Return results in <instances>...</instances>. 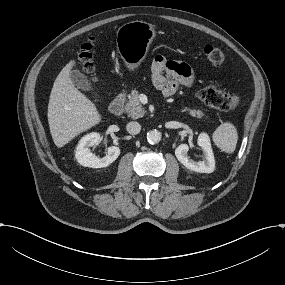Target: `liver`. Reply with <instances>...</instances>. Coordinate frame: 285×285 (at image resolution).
<instances>
[{"instance_id":"liver-1","label":"liver","mask_w":285,"mask_h":285,"mask_svg":"<svg viewBox=\"0 0 285 285\" xmlns=\"http://www.w3.org/2000/svg\"><path fill=\"white\" fill-rule=\"evenodd\" d=\"M77 66L72 58L56 78L48 105V122L57 148H62L103 122L96 105L74 85L70 72Z\"/></svg>"}]
</instances>
